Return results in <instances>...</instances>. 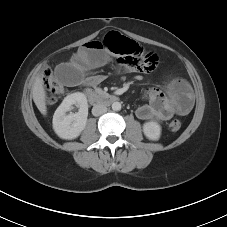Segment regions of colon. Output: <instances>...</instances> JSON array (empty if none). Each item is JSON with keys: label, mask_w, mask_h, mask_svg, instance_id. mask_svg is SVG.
<instances>
[{"label": "colon", "mask_w": 227, "mask_h": 227, "mask_svg": "<svg viewBox=\"0 0 227 227\" xmlns=\"http://www.w3.org/2000/svg\"><path fill=\"white\" fill-rule=\"evenodd\" d=\"M100 41L105 43V50H108L118 56V58L133 57L139 60L142 64V68L140 70L142 72H150L158 66L157 55L153 53H145L136 42L120 35L117 32L109 33ZM42 82L46 91V102L48 105L55 103L57 98L65 92L64 86L56 80L50 69H46L44 71ZM181 124V120L179 118H175L169 123V130L177 132L181 128Z\"/></svg>", "instance_id": "colon-1"}]
</instances>
